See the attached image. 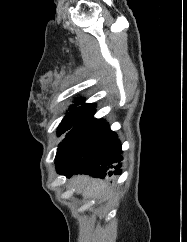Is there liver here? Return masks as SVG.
I'll return each mask as SVG.
<instances>
[{
    "label": "liver",
    "instance_id": "obj_1",
    "mask_svg": "<svg viewBox=\"0 0 187 242\" xmlns=\"http://www.w3.org/2000/svg\"><path fill=\"white\" fill-rule=\"evenodd\" d=\"M72 183L76 188V193L81 194L85 198H97L98 200H102L109 194L108 185L100 179H93L81 175L74 177Z\"/></svg>",
    "mask_w": 187,
    "mask_h": 242
}]
</instances>
